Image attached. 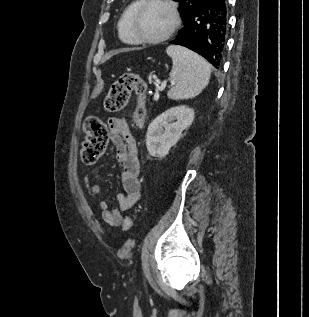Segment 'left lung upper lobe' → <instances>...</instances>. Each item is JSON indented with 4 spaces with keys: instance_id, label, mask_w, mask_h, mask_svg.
Wrapping results in <instances>:
<instances>
[{
    "instance_id": "obj_1",
    "label": "left lung upper lobe",
    "mask_w": 309,
    "mask_h": 317,
    "mask_svg": "<svg viewBox=\"0 0 309 317\" xmlns=\"http://www.w3.org/2000/svg\"><path fill=\"white\" fill-rule=\"evenodd\" d=\"M179 1V12L183 20L191 14L199 5H201L205 0H174Z\"/></svg>"
}]
</instances>
